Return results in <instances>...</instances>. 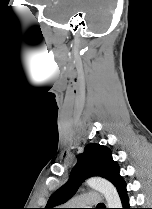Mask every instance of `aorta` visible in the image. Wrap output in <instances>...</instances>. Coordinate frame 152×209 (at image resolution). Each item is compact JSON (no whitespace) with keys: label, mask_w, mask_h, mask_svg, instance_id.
<instances>
[{"label":"aorta","mask_w":152,"mask_h":209,"mask_svg":"<svg viewBox=\"0 0 152 209\" xmlns=\"http://www.w3.org/2000/svg\"><path fill=\"white\" fill-rule=\"evenodd\" d=\"M86 184L104 195L108 208H121V200L118 192L109 181L103 178L93 177L88 179Z\"/></svg>","instance_id":"1"}]
</instances>
